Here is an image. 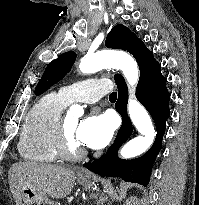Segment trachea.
Wrapping results in <instances>:
<instances>
[{
    "instance_id": "trachea-1",
    "label": "trachea",
    "mask_w": 199,
    "mask_h": 205,
    "mask_svg": "<svg viewBox=\"0 0 199 205\" xmlns=\"http://www.w3.org/2000/svg\"><path fill=\"white\" fill-rule=\"evenodd\" d=\"M109 99L110 100H116L117 99V93L116 92L111 93L110 96H109Z\"/></svg>"
}]
</instances>
